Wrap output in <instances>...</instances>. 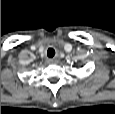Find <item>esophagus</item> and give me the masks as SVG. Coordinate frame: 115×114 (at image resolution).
Instances as JSON below:
<instances>
[{"label":"esophagus","mask_w":115,"mask_h":114,"mask_svg":"<svg viewBox=\"0 0 115 114\" xmlns=\"http://www.w3.org/2000/svg\"><path fill=\"white\" fill-rule=\"evenodd\" d=\"M48 62L49 63H55V62H57V59L56 58H52V59H49Z\"/></svg>","instance_id":"esophagus-1"}]
</instances>
